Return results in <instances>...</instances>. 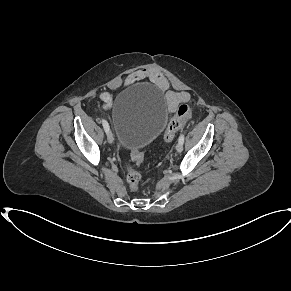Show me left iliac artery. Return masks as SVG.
<instances>
[{"label": "left iliac artery", "instance_id": "44dca946", "mask_svg": "<svg viewBox=\"0 0 291 291\" xmlns=\"http://www.w3.org/2000/svg\"><path fill=\"white\" fill-rule=\"evenodd\" d=\"M184 138H185V136H184V134L182 133V134L180 135V137H179V141H180V142H184Z\"/></svg>", "mask_w": 291, "mask_h": 291}]
</instances>
